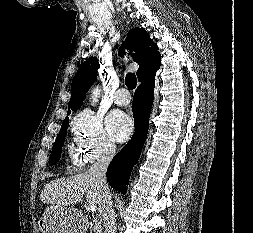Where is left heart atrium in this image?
<instances>
[{
  "instance_id": "39dd6f15",
  "label": "left heart atrium",
  "mask_w": 253,
  "mask_h": 233,
  "mask_svg": "<svg viewBox=\"0 0 253 233\" xmlns=\"http://www.w3.org/2000/svg\"><path fill=\"white\" fill-rule=\"evenodd\" d=\"M106 125L110 136L117 142L128 139L133 128L131 118L121 111L111 112L107 116Z\"/></svg>"
}]
</instances>
